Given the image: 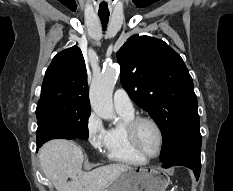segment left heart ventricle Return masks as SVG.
Segmentation results:
<instances>
[{
	"label": "left heart ventricle",
	"mask_w": 233,
	"mask_h": 191,
	"mask_svg": "<svg viewBox=\"0 0 233 191\" xmlns=\"http://www.w3.org/2000/svg\"><path fill=\"white\" fill-rule=\"evenodd\" d=\"M158 133L155 127L149 122H143L138 129V143L142 151L153 156L158 149Z\"/></svg>",
	"instance_id": "1"
}]
</instances>
